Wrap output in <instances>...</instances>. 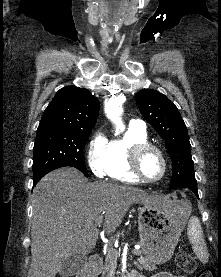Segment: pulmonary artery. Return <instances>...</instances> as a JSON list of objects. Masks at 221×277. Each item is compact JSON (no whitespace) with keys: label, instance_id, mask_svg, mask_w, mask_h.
I'll list each match as a JSON object with an SVG mask.
<instances>
[{"label":"pulmonary artery","instance_id":"1","mask_svg":"<svg viewBox=\"0 0 221 277\" xmlns=\"http://www.w3.org/2000/svg\"><path fill=\"white\" fill-rule=\"evenodd\" d=\"M130 127L132 128H136L139 130H145L146 129V125L142 120L139 119H133L130 121Z\"/></svg>","mask_w":221,"mask_h":277}]
</instances>
